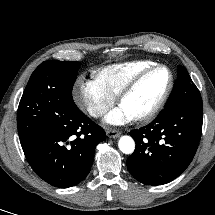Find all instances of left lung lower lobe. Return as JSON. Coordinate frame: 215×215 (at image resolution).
<instances>
[{
    "instance_id": "obj_1",
    "label": "left lung lower lobe",
    "mask_w": 215,
    "mask_h": 215,
    "mask_svg": "<svg viewBox=\"0 0 215 215\" xmlns=\"http://www.w3.org/2000/svg\"><path fill=\"white\" fill-rule=\"evenodd\" d=\"M202 122V109L172 106L164 108L149 125L132 130L136 149L127 159L131 175L146 185L174 180L196 153Z\"/></svg>"
}]
</instances>
